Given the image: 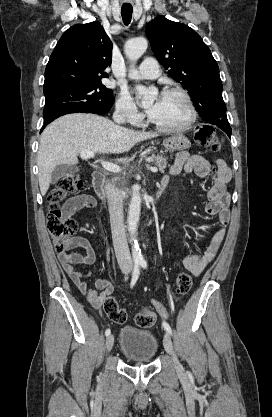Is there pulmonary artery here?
I'll return each instance as SVG.
<instances>
[{
    "label": "pulmonary artery",
    "mask_w": 272,
    "mask_h": 417,
    "mask_svg": "<svg viewBox=\"0 0 272 417\" xmlns=\"http://www.w3.org/2000/svg\"><path fill=\"white\" fill-rule=\"evenodd\" d=\"M160 75L157 61L151 57L146 58L139 66L137 72L131 75L137 79H155Z\"/></svg>",
    "instance_id": "1"
}]
</instances>
